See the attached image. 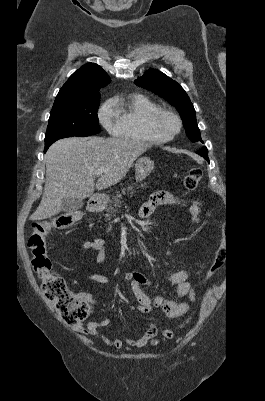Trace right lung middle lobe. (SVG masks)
Masks as SVG:
<instances>
[{
  "mask_svg": "<svg viewBox=\"0 0 265 401\" xmlns=\"http://www.w3.org/2000/svg\"><path fill=\"white\" fill-rule=\"evenodd\" d=\"M100 96L72 100L53 106L45 135V145L71 136H90L101 131L97 116Z\"/></svg>",
  "mask_w": 265,
  "mask_h": 401,
  "instance_id": "dd1d6c3e",
  "label": "right lung middle lobe"
}]
</instances>
